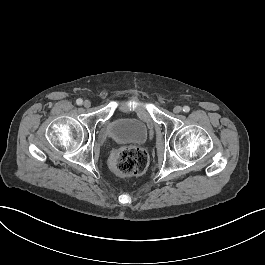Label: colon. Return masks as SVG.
Returning a JSON list of instances; mask_svg holds the SVG:
<instances>
[{
    "label": "colon",
    "instance_id": "1",
    "mask_svg": "<svg viewBox=\"0 0 265 265\" xmlns=\"http://www.w3.org/2000/svg\"><path fill=\"white\" fill-rule=\"evenodd\" d=\"M149 164L145 149L137 146H125L117 150L110 158L111 171L119 176L143 174Z\"/></svg>",
    "mask_w": 265,
    "mask_h": 265
}]
</instances>
